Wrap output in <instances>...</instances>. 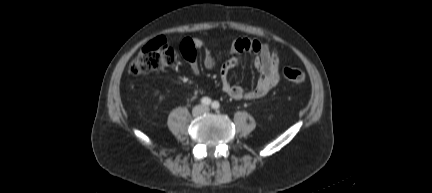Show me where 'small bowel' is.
<instances>
[{
	"label": "small bowel",
	"instance_id": "small-bowel-1",
	"mask_svg": "<svg viewBox=\"0 0 432 193\" xmlns=\"http://www.w3.org/2000/svg\"><path fill=\"white\" fill-rule=\"evenodd\" d=\"M206 42L200 38H185L179 48L183 57L187 60L194 76L200 75V67L197 59V51L204 49ZM245 58H248L259 72V78L255 87L244 90L241 86L229 81V72L236 68ZM204 65L209 70L219 68L221 88L225 94L234 99L257 100L267 95L280 80L279 58L276 50L268 44L258 40L239 38L234 41L231 56L219 66L217 60L205 53Z\"/></svg>",
	"mask_w": 432,
	"mask_h": 193
}]
</instances>
